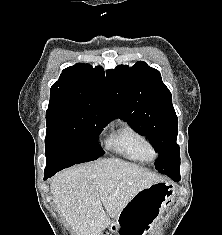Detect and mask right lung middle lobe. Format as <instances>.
I'll list each match as a JSON object with an SVG mask.
<instances>
[{
	"instance_id": "1",
	"label": "right lung middle lobe",
	"mask_w": 222,
	"mask_h": 235,
	"mask_svg": "<svg viewBox=\"0 0 222 235\" xmlns=\"http://www.w3.org/2000/svg\"><path fill=\"white\" fill-rule=\"evenodd\" d=\"M113 119L87 112L46 115L45 173L58 172L102 156L104 151L98 144V135Z\"/></svg>"
}]
</instances>
